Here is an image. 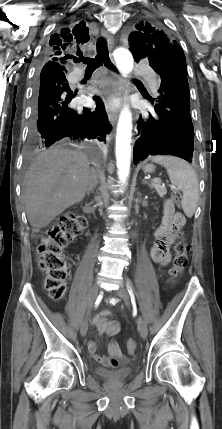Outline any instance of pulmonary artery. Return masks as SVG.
<instances>
[{
    "mask_svg": "<svg viewBox=\"0 0 222 429\" xmlns=\"http://www.w3.org/2000/svg\"><path fill=\"white\" fill-rule=\"evenodd\" d=\"M135 72L143 74L147 78V80H148V85H149L150 89L153 92L157 91V89H158V81L156 79V76L148 68L142 66L140 68L135 69ZM81 77H82V71L81 70H77L75 72V78L79 79Z\"/></svg>",
    "mask_w": 222,
    "mask_h": 429,
    "instance_id": "e3ab8cb5",
    "label": "pulmonary artery"
}]
</instances>
